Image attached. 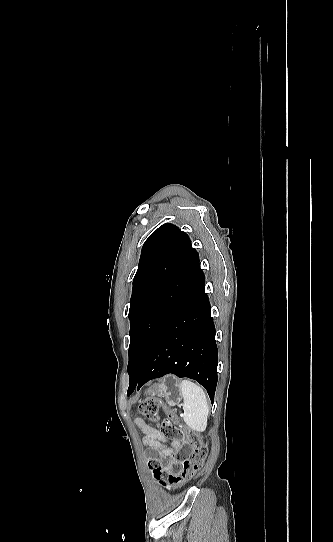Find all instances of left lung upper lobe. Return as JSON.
Segmentation results:
<instances>
[{
    "label": "left lung upper lobe",
    "instance_id": "5c2ea615",
    "mask_svg": "<svg viewBox=\"0 0 333 542\" xmlns=\"http://www.w3.org/2000/svg\"><path fill=\"white\" fill-rule=\"evenodd\" d=\"M202 273L198 252L175 225H161L145 241L129 309L130 378L138 375L157 333Z\"/></svg>",
    "mask_w": 333,
    "mask_h": 542
}]
</instances>
